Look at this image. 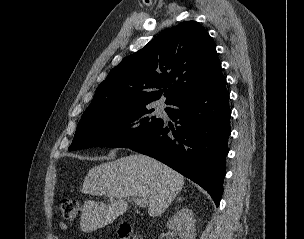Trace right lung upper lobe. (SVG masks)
Masks as SVG:
<instances>
[{"label": "right lung upper lobe", "instance_id": "right-lung-upper-lobe-1", "mask_svg": "<svg viewBox=\"0 0 304 239\" xmlns=\"http://www.w3.org/2000/svg\"><path fill=\"white\" fill-rule=\"evenodd\" d=\"M219 72L220 61L208 33L195 21L182 22L114 67L81 118L116 107L147 105L163 94L169 104Z\"/></svg>", "mask_w": 304, "mask_h": 239}]
</instances>
